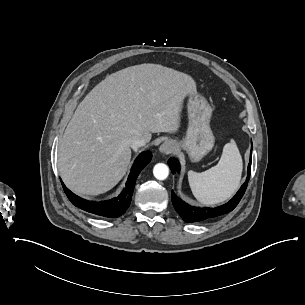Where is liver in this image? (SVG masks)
<instances>
[{
	"mask_svg": "<svg viewBox=\"0 0 305 305\" xmlns=\"http://www.w3.org/2000/svg\"><path fill=\"white\" fill-rule=\"evenodd\" d=\"M188 94H196L192 77L158 64L108 75L77 106L59 141L58 170L65 185L86 195L112 189L130 164V141L176 132Z\"/></svg>",
	"mask_w": 305,
	"mask_h": 305,
	"instance_id": "liver-1",
	"label": "liver"
}]
</instances>
